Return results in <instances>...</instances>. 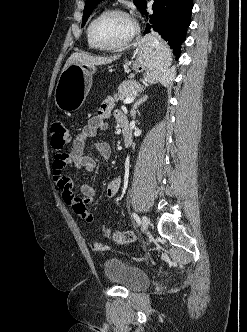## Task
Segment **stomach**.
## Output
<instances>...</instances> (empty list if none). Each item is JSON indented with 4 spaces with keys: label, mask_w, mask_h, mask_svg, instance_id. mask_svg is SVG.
I'll use <instances>...</instances> for the list:
<instances>
[{
    "label": "stomach",
    "mask_w": 247,
    "mask_h": 332,
    "mask_svg": "<svg viewBox=\"0 0 247 332\" xmlns=\"http://www.w3.org/2000/svg\"><path fill=\"white\" fill-rule=\"evenodd\" d=\"M137 59L133 63L135 72H145L150 83L160 80L171 65L172 55L160 37L153 34L139 38L134 44ZM95 66L73 63L62 71L56 88L54 100L56 106L66 114L79 110L92 85Z\"/></svg>",
    "instance_id": "0dacf381"
}]
</instances>
